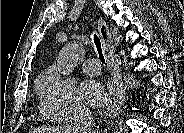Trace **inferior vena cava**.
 Returning a JSON list of instances; mask_svg holds the SVG:
<instances>
[{
    "mask_svg": "<svg viewBox=\"0 0 184 133\" xmlns=\"http://www.w3.org/2000/svg\"><path fill=\"white\" fill-rule=\"evenodd\" d=\"M93 120L91 112L85 107L78 105L75 110V133H91Z\"/></svg>",
    "mask_w": 184,
    "mask_h": 133,
    "instance_id": "inferior-vena-cava-1",
    "label": "inferior vena cava"
}]
</instances>
